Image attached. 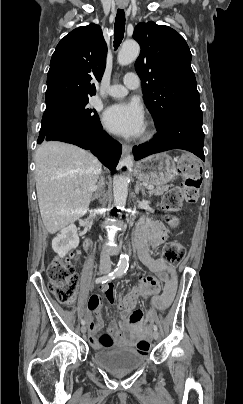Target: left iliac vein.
Returning <instances> with one entry per match:
<instances>
[{
	"mask_svg": "<svg viewBox=\"0 0 243 404\" xmlns=\"http://www.w3.org/2000/svg\"><path fill=\"white\" fill-rule=\"evenodd\" d=\"M152 337H153L154 340H158L159 337H160L159 332H158V331H154L153 334H152Z\"/></svg>",
	"mask_w": 243,
	"mask_h": 404,
	"instance_id": "1",
	"label": "left iliac vein"
}]
</instances>
